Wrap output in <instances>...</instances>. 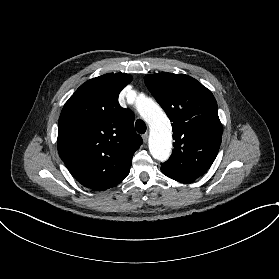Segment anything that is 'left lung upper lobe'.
<instances>
[{
    "label": "left lung upper lobe",
    "instance_id": "left-lung-upper-lobe-1",
    "mask_svg": "<svg viewBox=\"0 0 279 279\" xmlns=\"http://www.w3.org/2000/svg\"><path fill=\"white\" fill-rule=\"evenodd\" d=\"M144 81L173 122L175 148L161 167L193 182L209 169L220 148L217 102L206 87L185 74H151Z\"/></svg>",
    "mask_w": 279,
    "mask_h": 279
}]
</instances>
